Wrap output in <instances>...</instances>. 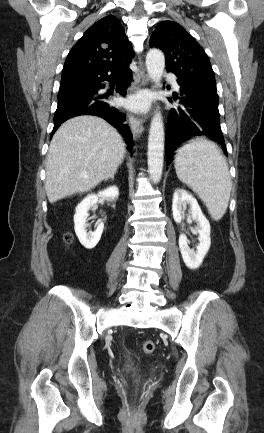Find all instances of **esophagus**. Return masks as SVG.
<instances>
[{
	"label": "esophagus",
	"mask_w": 264,
	"mask_h": 433,
	"mask_svg": "<svg viewBox=\"0 0 264 433\" xmlns=\"http://www.w3.org/2000/svg\"><path fill=\"white\" fill-rule=\"evenodd\" d=\"M149 84V76L146 73L141 58L139 57V73L133 77L131 91L139 89L140 87L147 86ZM129 124L135 137L140 135L144 131L143 121L141 118L129 115Z\"/></svg>",
	"instance_id": "esophagus-1"
}]
</instances>
